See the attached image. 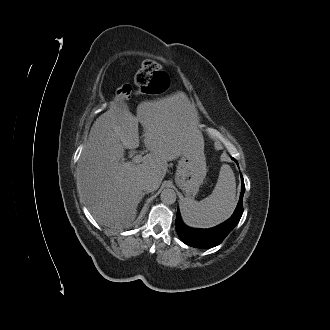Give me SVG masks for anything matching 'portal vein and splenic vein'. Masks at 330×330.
<instances>
[{"label":"portal vein and splenic vein","mask_w":330,"mask_h":330,"mask_svg":"<svg viewBox=\"0 0 330 330\" xmlns=\"http://www.w3.org/2000/svg\"><path fill=\"white\" fill-rule=\"evenodd\" d=\"M144 152L142 151L140 154H137L136 156L133 157V162L134 163H140L143 160V155Z\"/></svg>","instance_id":"portal-vein-and-splenic-vein-1"}]
</instances>
